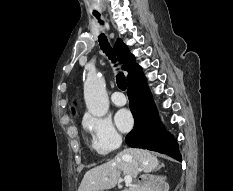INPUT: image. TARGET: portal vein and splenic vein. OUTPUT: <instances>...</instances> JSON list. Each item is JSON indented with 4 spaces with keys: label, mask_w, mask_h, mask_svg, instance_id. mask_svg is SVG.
I'll use <instances>...</instances> for the list:
<instances>
[{
    "label": "portal vein and splenic vein",
    "mask_w": 233,
    "mask_h": 191,
    "mask_svg": "<svg viewBox=\"0 0 233 191\" xmlns=\"http://www.w3.org/2000/svg\"><path fill=\"white\" fill-rule=\"evenodd\" d=\"M124 181L126 185H130L132 183V177L130 175H125Z\"/></svg>",
    "instance_id": "obj_1"
}]
</instances>
